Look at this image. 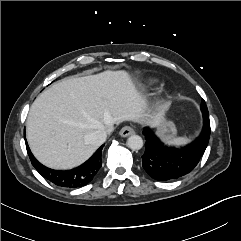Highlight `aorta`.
<instances>
[{"mask_svg": "<svg viewBox=\"0 0 241 241\" xmlns=\"http://www.w3.org/2000/svg\"><path fill=\"white\" fill-rule=\"evenodd\" d=\"M127 146L131 150H140L143 147V139L139 135H131L127 139Z\"/></svg>", "mask_w": 241, "mask_h": 241, "instance_id": "762f6f07", "label": "aorta"}]
</instances>
